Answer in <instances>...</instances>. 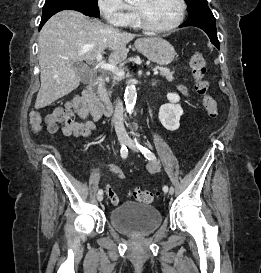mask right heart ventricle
Returning <instances> with one entry per match:
<instances>
[{
    "instance_id": "1",
    "label": "right heart ventricle",
    "mask_w": 261,
    "mask_h": 273,
    "mask_svg": "<svg viewBox=\"0 0 261 273\" xmlns=\"http://www.w3.org/2000/svg\"><path fill=\"white\" fill-rule=\"evenodd\" d=\"M127 26H129L131 28H134V29H138V28L141 27L140 24H139L136 12L134 10H132V14H131V16L129 18Z\"/></svg>"
}]
</instances>
